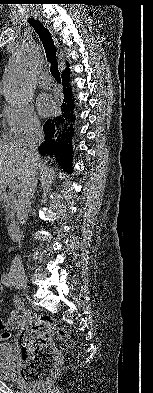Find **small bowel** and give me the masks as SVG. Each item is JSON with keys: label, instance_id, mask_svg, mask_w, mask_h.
Segmentation results:
<instances>
[{"label": "small bowel", "instance_id": "c3829d8e", "mask_svg": "<svg viewBox=\"0 0 153 393\" xmlns=\"http://www.w3.org/2000/svg\"><path fill=\"white\" fill-rule=\"evenodd\" d=\"M2 292H3V288H2V286L0 285V297H1V295H2ZM13 302H14V309L13 310H11L10 311V315H16L20 310H21V308H22V301H21V299L19 298V297H15L14 299H13ZM10 336V333H9V331H5L4 333H3V337L4 338H8Z\"/></svg>", "mask_w": 153, "mask_h": 393}]
</instances>
